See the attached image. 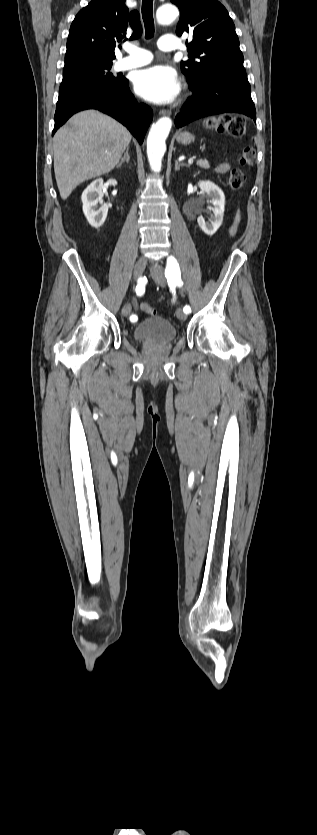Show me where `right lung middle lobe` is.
<instances>
[{
	"mask_svg": "<svg viewBox=\"0 0 317 835\" xmlns=\"http://www.w3.org/2000/svg\"><path fill=\"white\" fill-rule=\"evenodd\" d=\"M111 61L99 58H76L65 61L63 80L59 92H65L93 83H121L123 77H114L109 70Z\"/></svg>",
	"mask_w": 317,
	"mask_h": 835,
	"instance_id": "1",
	"label": "right lung middle lobe"
}]
</instances>
